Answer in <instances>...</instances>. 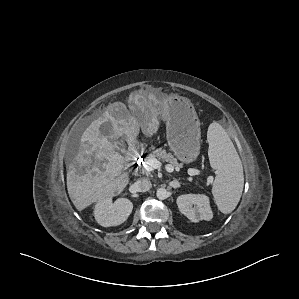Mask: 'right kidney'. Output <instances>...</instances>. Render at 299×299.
Wrapping results in <instances>:
<instances>
[{
    "label": "right kidney",
    "mask_w": 299,
    "mask_h": 299,
    "mask_svg": "<svg viewBox=\"0 0 299 299\" xmlns=\"http://www.w3.org/2000/svg\"><path fill=\"white\" fill-rule=\"evenodd\" d=\"M133 209V204L127 198H118L112 202L108 197L98 201L94 208V217L103 227L118 226L125 222Z\"/></svg>",
    "instance_id": "1"
}]
</instances>
